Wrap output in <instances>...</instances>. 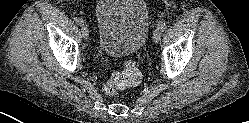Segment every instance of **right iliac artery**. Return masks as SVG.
Returning <instances> with one entry per match:
<instances>
[{"label":"right iliac artery","instance_id":"right-iliac-artery-1","mask_svg":"<svg viewBox=\"0 0 249 123\" xmlns=\"http://www.w3.org/2000/svg\"><path fill=\"white\" fill-rule=\"evenodd\" d=\"M76 23L78 24V25H80V26H82V25H84V20L82 19V18H77L76 19Z\"/></svg>","mask_w":249,"mask_h":123}]
</instances>
